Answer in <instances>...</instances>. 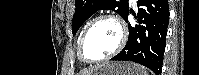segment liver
Masks as SVG:
<instances>
[{
  "mask_svg": "<svg viewBox=\"0 0 199 75\" xmlns=\"http://www.w3.org/2000/svg\"><path fill=\"white\" fill-rule=\"evenodd\" d=\"M92 73H93V70H88V71L82 72V74L80 75H91Z\"/></svg>",
  "mask_w": 199,
  "mask_h": 75,
  "instance_id": "1",
  "label": "liver"
}]
</instances>
